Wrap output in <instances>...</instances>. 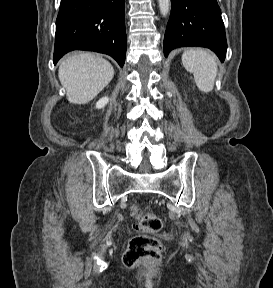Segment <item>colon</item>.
Listing matches in <instances>:
<instances>
[{
    "label": "colon",
    "instance_id": "colon-1",
    "mask_svg": "<svg viewBox=\"0 0 273 288\" xmlns=\"http://www.w3.org/2000/svg\"><path fill=\"white\" fill-rule=\"evenodd\" d=\"M138 221V228L143 232H154L161 228V220L153 213L140 211L137 207L132 209ZM161 242L148 234L133 236L123 254V263L127 267H133L138 261L146 259L158 260L161 256Z\"/></svg>",
    "mask_w": 273,
    "mask_h": 288
}]
</instances>
